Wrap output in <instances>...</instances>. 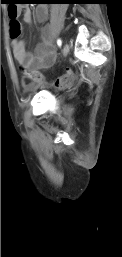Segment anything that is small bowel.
Returning <instances> with one entry per match:
<instances>
[{"instance_id":"obj_1","label":"small bowel","mask_w":122,"mask_h":257,"mask_svg":"<svg viewBox=\"0 0 122 257\" xmlns=\"http://www.w3.org/2000/svg\"><path fill=\"white\" fill-rule=\"evenodd\" d=\"M17 12L22 13L23 20L28 24L33 23L34 20L44 23L48 18V8L44 5L37 6L34 14L27 7H18ZM11 47L17 62L26 69L38 71L48 69L54 64L55 53L49 26L42 29L41 42L33 52L27 51L25 41L18 38L11 40Z\"/></svg>"}]
</instances>
